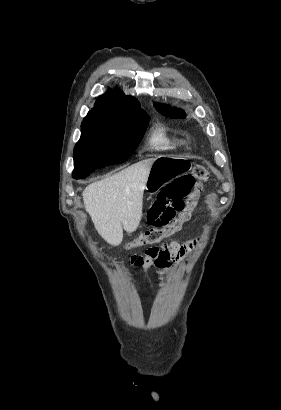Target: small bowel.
I'll use <instances>...</instances> for the list:
<instances>
[{
  "mask_svg": "<svg viewBox=\"0 0 281 410\" xmlns=\"http://www.w3.org/2000/svg\"><path fill=\"white\" fill-rule=\"evenodd\" d=\"M195 245V241L181 242L173 240L170 243H164L160 246L148 248L144 255H133L130 258V264L134 273L147 275L152 267H155L160 283L163 285V276L171 265L181 262L188 252Z\"/></svg>",
  "mask_w": 281,
  "mask_h": 410,
  "instance_id": "small-bowel-1",
  "label": "small bowel"
}]
</instances>
